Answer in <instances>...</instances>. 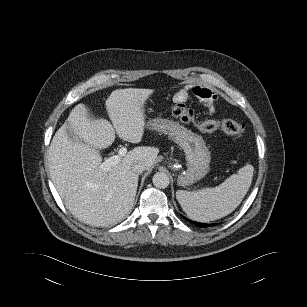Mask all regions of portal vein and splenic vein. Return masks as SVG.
<instances>
[{
  "label": "portal vein and splenic vein",
  "instance_id": "obj_1",
  "mask_svg": "<svg viewBox=\"0 0 307 307\" xmlns=\"http://www.w3.org/2000/svg\"><path fill=\"white\" fill-rule=\"evenodd\" d=\"M127 153V148L126 147H121L118 151V155H113L109 158H107L104 162H102L99 166V168L103 171V172H107L111 167L117 165L122 157H124Z\"/></svg>",
  "mask_w": 307,
  "mask_h": 307
}]
</instances>
